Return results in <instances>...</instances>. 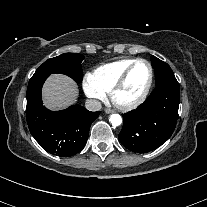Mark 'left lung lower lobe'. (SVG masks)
Wrapping results in <instances>:
<instances>
[{"mask_svg":"<svg viewBox=\"0 0 207 207\" xmlns=\"http://www.w3.org/2000/svg\"><path fill=\"white\" fill-rule=\"evenodd\" d=\"M179 102L177 81L156 86L143 104L123 115L120 142L137 153L150 152L161 146L174 132Z\"/></svg>","mask_w":207,"mask_h":207,"instance_id":"1","label":"left lung lower lobe"}]
</instances>
